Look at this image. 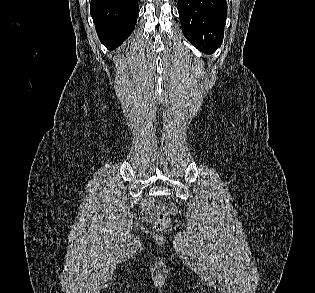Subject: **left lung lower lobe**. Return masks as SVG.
Here are the masks:
<instances>
[{
  "label": "left lung lower lobe",
  "mask_w": 315,
  "mask_h": 293,
  "mask_svg": "<svg viewBox=\"0 0 315 293\" xmlns=\"http://www.w3.org/2000/svg\"><path fill=\"white\" fill-rule=\"evenodd\" d=\"M184 36L199 50L211 53L223 41L226 0H179Z\"/></svg>",
  "instance_id": "0a47b994"
}]
</instances>
